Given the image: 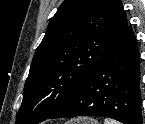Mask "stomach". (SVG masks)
Segmentation results:
<instances>
[{
    "label": "stomach",
    "instance_id": "stomach-1",
    "mask_svg": "<svg viewBox=\"0 0 145 124\" xmlns=\"http://www.w3.org/2000/svg\"><path fill=\"white\" fill-rule=\"evenodd\" d=\"M76 122V124H98L95 120L87 118L78 119Z\"/></svg>",
    "mask_w": 145,
    "mask_h": 124
}]
</instances>
